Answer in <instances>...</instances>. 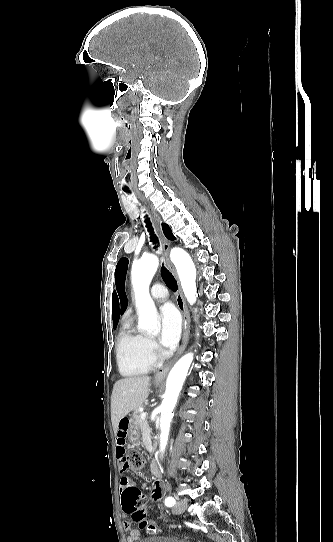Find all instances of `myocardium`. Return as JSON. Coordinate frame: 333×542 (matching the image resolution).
Segmentation results:
<instances>
[{"label":"myocardium","mask_w":333,"mask_h":542,"mask_svg":"<svg viewBox=\"0 0 333 542\" xmlns=\"http://www.w3.org/2000/svg\"><path fill=\"white\" fill-rule=\"evenodd\" d=\"M152 341H153V346H151V354H152L153 358H154L155 360H159V361H160V360H165V359H167V358L170 356V354L164 352V351L159 347V345H157V344L154 342V340H152Z\"/></svg>","instance_id":"myocardium-1"}]
</instances>
